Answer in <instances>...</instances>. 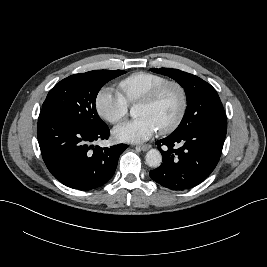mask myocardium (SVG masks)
<instances>
[{
  "label": "myocardium",
  "mask_w": 267,
  "mask_h": 267,
  "mask_svg": "<svg viewBox=\"0 0 267 267\" xmlns=\"http://www.w3.org/2000/svg\"><path fill=\"white\" fill-rule=\"evenodd\" d=\"M169 86H174L175 88H177L180 94L181 104H180V109L178 111V114L176 115L174 120L169 125L158 130L159 133L163 135L173 132L180 125V123L182 122L185 116L187 106H188V98H187V92L184 86L178 81L167 80L159 84L155 88H153L145 97H143L138 102L139 104H144V105L154 104L159 98V96L161 95V93Z\"/></svg>",
  "instance_id": "obj_1"
}]
</instances>
